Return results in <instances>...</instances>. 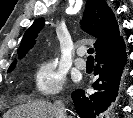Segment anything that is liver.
Instances as JSON below:
<instances>
[{"label": "liver", "mask_w": 133, "mask_h": 118, "mask_svg": "<svg viewBox=\"0 0 133 118\" xmlns=\"http://www.w3.org/2000/svg\"><path fill=\"white\" fill-rule=\"evenodd\" d=\"M3 118H57V114L53 104L37 101L15 107L6 112Z\"/></svg>", "instance_id": "6515ba94"}]
</instances>
